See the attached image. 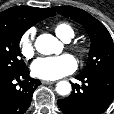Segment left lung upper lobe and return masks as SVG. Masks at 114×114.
Listing matches in <instances>:
<instances>
[{"mask_svg":"<svg viewBox=\"0 0 114 114\" xmlns=\"http://www.w3.org/2000/svg\"><path fill=\"white\" fill-rule=\"evenodd\" d=\"M53 9L82 24L91 39L88 63L80 74L114 73V44L106 27L78 8L61 6Z\"/></svg>","mask_w":114,"mask_h":114,"instance_id":"5c2ea615","label":"left lung upper lobe"}]
</instances>
